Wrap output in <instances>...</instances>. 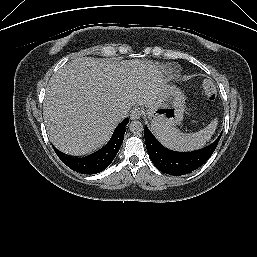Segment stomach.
<instances>
[{
	"label": "stomach",
	"mask_w": 257,
	"mask_h": 257,
	"mask_svg": "<svg viewBox=\"0 0 257 257\" xmlns=\"http://www.w3.org/2000/svg\"><path fill=\"white\" fill-rule=\"evenodd\" d=\"M185 111V96L174 85H164L155 103L148 107L151 126L167 128L181 123Z\"/></svg>",
	"instance_id": "0dacf381"
}]
</instances>
